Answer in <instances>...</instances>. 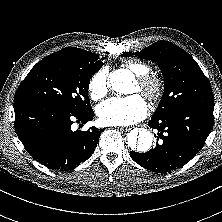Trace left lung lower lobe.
<instances>
[{
	"label": "left lung lower lobe",
	"instance_id": "left-lung-lower-lobe-1",
	"mask_svg": "<svg viewBox=\"0 0 222 222\" xmlns=\"http://www.w3.org/2000/svg\"><path fill=\"white\" fill-rule=\"evenodd\" d=\"M214 106L188 105L161 117H152L148 125L158 130L156 144L146 153L130 152L131 158L154 172L175 170L190 161L204 146L213 124Z\"/></svg>",
	"mask_w": 222,
	"mask_h": 222
}]
</instances>
